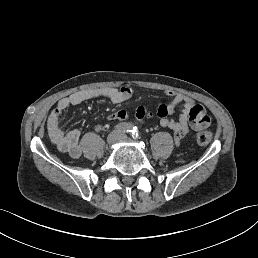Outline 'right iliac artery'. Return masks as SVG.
Wrapping results in <instances>:
<instances>
[{
    "instance_id": "1",
    "label": "right iliac artery",
    "mask_w": 258,
    "mask_h": 258,
    "mask_svg": "<svg viewBox=\"0 0 258 258\" xmlns=\"http://www.w3.org/2000/svg\"><path fill=\"white\" fill-rule=\"evenodd\" d=\"M114 128L122 132H130L133 129V125L130 123H119Z\"/></svg>"
}]
</instances>
